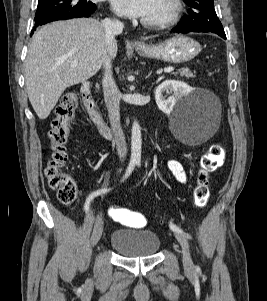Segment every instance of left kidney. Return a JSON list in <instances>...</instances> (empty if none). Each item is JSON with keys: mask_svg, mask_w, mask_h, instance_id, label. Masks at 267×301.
<instances>
[{"mask_svg": "<svg viewBox=\"0 0 267 301\" xmlns=\"http://www.w3.org/2000/svg\"><path fill=\"white\" fill-rule=\"evenodd\" d=\"M169 91L172 95L165 99L164 92ZM192 88L184 82L176 80H166L155 90L156 104L164 113H170L176 102L183 96L188 95Z\"/></svg>", "mask_w": 267, "mask_h": 301, "instance_id": "left-kidney-1", "label": "left kidney"}]
</instances>
